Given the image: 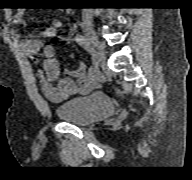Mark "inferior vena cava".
<instances>
[{"mask_svg":"<svg viewBox=\"0 0 192 180\" xmlns=\"http://www.w3.org/2000/svg\"><path fill=\"white\" fill-rule=\"evenodd\" d=\"M92 11L90 8H84L83 9V18L85 19H91L92 18Z\"/></svg>","mask_w":192,"mask_h":180,"instance_id":"obj_1","label":"inferior vena cava"}]
</instances>
